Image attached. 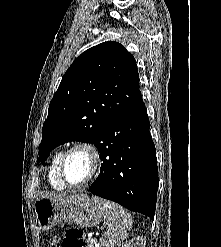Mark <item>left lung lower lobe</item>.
<instances>
[{"label": "left lung lower lobe", "instance_id": "1", "mask_svg": "<svg viewBox=\"0 0 221 247\" xmlns=\"http://www.w3.org/2000/svg\"><path fill=\"white\" fill-rule=\"evenodd\" d=\"M149 128L145 105L117 116L104 128L101 170L90 191L153 219L159 179Z\"/></svg>", "mask_w": 221, "mask_h": 247}]
</instances>
